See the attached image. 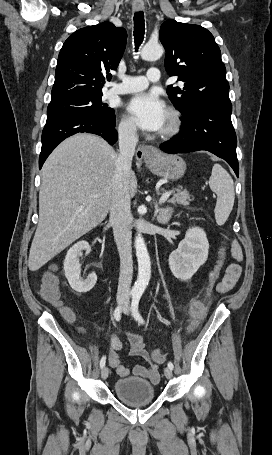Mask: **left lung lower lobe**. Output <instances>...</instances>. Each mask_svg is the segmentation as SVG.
I'll list each match as a JSON object with an SVG mask.
<instances>
[{
    "label": "left lung lower lobe",
    "instance_id": "1",
    "mask_svg": "<svg viewBox=\"0 0 272 455\" xmlns=\"http://www.w3.org/2000/svg\"><path fill=\"white\" fill-rule=\"evenodd\" d=\"M230 103L206 104L183 118L181 131L160 146L166 153L209 151L224 159L239 174L237 139L231 122Z\"/></svg>",
    "mask_w": 272,
    "mask_h": 455
}]
</instances>
